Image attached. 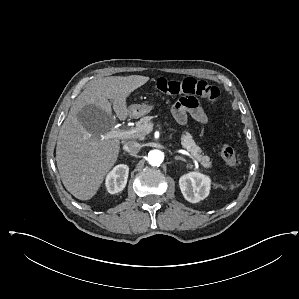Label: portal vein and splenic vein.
<instances>
[{
    "label": "portal vein and splenic vein",
    "instance_id": "portal-vein-and-splenic-vein-1",
    "mask_svg": "<svg viewBox=\"0 0 299 299\" xmlns=\"http://www.w3.org/2000/svg\"><path fill=\"white\" fill-rule=\"evenodd\" d=\"M153 124H148L144 129H130V130H120L118 128H113L111 131L105 133L101 136L102 139H111V138H118V139H126V138H134L138 133L145 132L146 134L149 133L152 128Z\"/></svg>",
    "mask_w": 299,
    "mask_h": 299
}]
</instances>
